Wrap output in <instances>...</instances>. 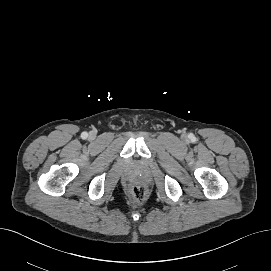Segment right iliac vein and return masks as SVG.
Instances as JSON below:
<instances>
[{
	"mask_svg": "<svg viewBox=\"0 0 271 271\" xmlns=\"http://www.w3.org/2000/svg\"><path fill=\"white\" fill-rule=\"evenodd\" d=\"M89 137L90 138H94L95 137V133L94 132H90Z\"/></svg>",
	"mask_w": 271,
	"mask_h": 271,
	"instance_id": "1",
	"label": "right iliac vein"
}]
</instances>
